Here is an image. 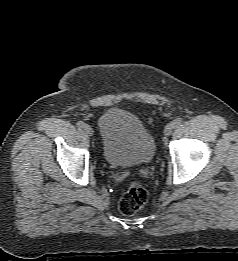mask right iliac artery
Returning a JSON list of instances; mask_svg holds the SVG:
<instances>
[{
    "instance_id": "1",
    "label": "right iliac artery",
    "mask_w": 238,
    "mask_h": 261,
    "mask_svg": "<svg viewBox=\"0 0 238 261\" xmlns=\"http://www.w3.org/2000/svg\"><path fill=\"white\" fill-rule=\"evenodd\" d=\"M77 126L79 128H83L85 126V123L83 121H79V122H77Z\"/></svg>"
}]
</instances>
